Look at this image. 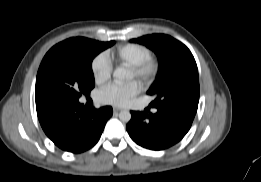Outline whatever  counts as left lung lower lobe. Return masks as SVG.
<instances>
[{
  "label": "left lung lower lobe",
  "instance_id": "1",
  "mask_svg": "<svg viewBox=\"0 0 261 182\" xmlns=\"http://www.w3.org/2000/svg\"><path fill=\"white\" fill-rule=\"evenodd\" d=\"M196 111L197 108L188 105L157 109L155 114L132 111L126 129L138 145L151 150H163L185 136Z\"/></svg>",
  "mask_w": 261,
  "mask_h": 182
}]
</instances>
